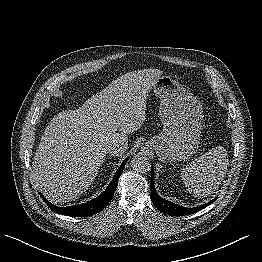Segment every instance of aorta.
<instances>
[{"instance_id": "762f6f07", "label": "aorta", "mask_w": 262, "mask_h": 262, "mask_svg": "<svg viewBox=\"0 0 262 262\" xmlns=\"http://www.w3.org/2000/svg\"><path fill=\"white\" fill-rule=\"evenodd\" d=\"M132 168L137 172H147L150 170V161L146 156L136 155L131 160Z\"/></svg>"}]
</instances>
